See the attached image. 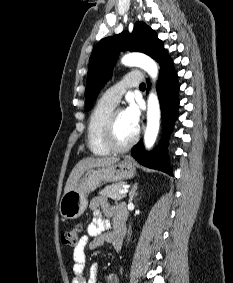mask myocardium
<instances>
[{
    "instance_id": "1",
    "label": "myocardium",
    "mask_w": 233,
    "mask_h": 283,
    "mask_svg": "<svg viewBox=\"0 0 233 283\" xmlns=\"http://www.w3.org/2000/svg\"><path fill=\"white\" fill-rule=\"evenodd\" d=\"M121 111H123L121 108H114L110 112L105 122L103 133H102L104 145L111 152H115V153H121V152H125L129 150L137 142L138 137H139V129H136L134 136L126 144L119 145L116 143L115 138H114V128H115L116 117L118 113H120Z\"/></svg>"
}]
</instances>
